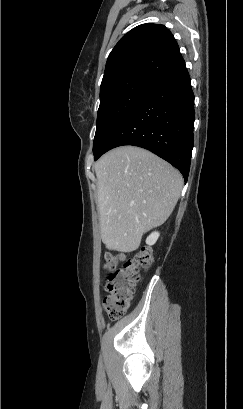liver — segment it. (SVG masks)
Segmentation results:
<instances>
[{"instance_id":"liver-1","label":"liver","mask_w":243,"mask_h":409,"mask_svg":"<svg viewBox=\"0 0 243 409\" xmlns=\"http://www.w3.org/2000/svg\"><path fill=\"white\" fill-rule=\"evenodd\" d=\"M102 242L108 250L132 252L143 234L164 223L183 187L178 170L155 154L122 146L94 165Z\"/></svg>"}]
</instances>
